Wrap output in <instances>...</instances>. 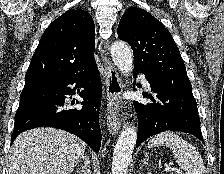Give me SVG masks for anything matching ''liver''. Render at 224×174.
Returning <instances> with one entry per match:
<instances>
[{"instance_id":"6515ba94","label":"liver","mask_w":224,"mask_h":174,"mask_svg":"<svg viewBox=\"0 0 224 174\" xmlns=\"http://www.w3.org/2000/svg\"><path fill=\"white\" fill-rule=\"evenodd\" d=\"M86 144L66 131L42 127L21 133L13 142L9 174H71Z\"/></svg>"}]
</instances>
